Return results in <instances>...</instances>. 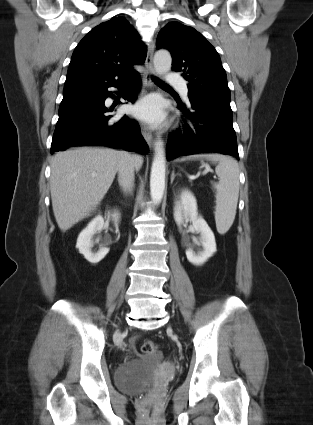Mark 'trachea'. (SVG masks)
<instances>
[{"label":"trachea","instance_id":"3493384b","mask_svg":"<svg viewBox=\"0 0 313 425\" xmlns=\"http://www.w3.org/2000/svg\"><path fill=\"white\" fill-rule=\"evenodd\" d=\"M154 81L157 85L160 86H164V87H169L166 83H164L163 81L159 80L158 78H154Z\"/></svg>","mask_w":313,"mask_h":425}]
</instances>
